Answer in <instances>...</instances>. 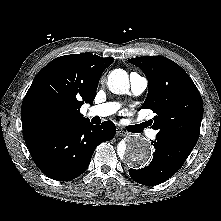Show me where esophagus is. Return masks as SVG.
<instances>
[{"label": "esophagus", "mask_w": 221, "mask_h": 221, "mask_svg": "<svg viewBox=\"0 0 221 221\" xmlns=\"http://www.w3.org/2000/svg\"><path fill=\"white\" fill-rule=\"evenodd\" d=\"M126 132L124 131V130H122L121 128H117V130H116V135L118 136V137H123V136H126Z\"/></svg>", "instance_id": "esophagus-1"}]
</instances>
